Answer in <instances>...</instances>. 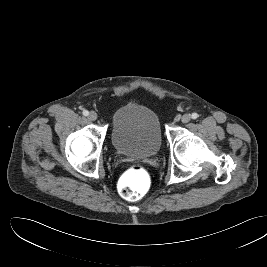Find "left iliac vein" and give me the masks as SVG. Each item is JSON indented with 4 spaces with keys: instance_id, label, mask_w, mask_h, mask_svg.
Here are the masks:
<instances>
[{
    "instance_id": "4c4485c4",
    "label": "left iliac vein",
    "mask_w": 267,
    "mask_h": 267,
    "mask_svg": "<svg viewBox=\"0 0 267 267\" xmlns=\"http://www.w3.org/2000/svg\"><path fill=\"white\" fill-rule=\"evenodd\" d=\"M191 119V116L189 114H184L182 117H181V121L183 123H188Z\"/></svg>"
}]
</instances>
